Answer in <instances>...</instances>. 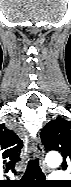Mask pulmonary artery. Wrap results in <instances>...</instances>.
<instances>
[{
    "instance_id": "e3ab8cb5",
    "label": "pulmonary artery",
    "mask_w": 71,
    "mask_h": 187,
    "mask_svg": "<svg viewBox=\"0 0 71 187\" xmlns=\"http://www.w3.org/2000/svg\"><path fill=\"white\" fill-rule=\"evenodd\" d=\"M64 176H63V173L62 172H53L51 175H50V179L51 180H60L62 179Z\"/></svg>"
}]
</instances>
